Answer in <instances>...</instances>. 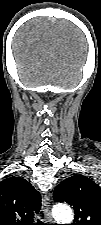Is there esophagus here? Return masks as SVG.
<instances>
[{
  "instance_id": "1",
  "label": "esophagus",
  "mask_w": 101,
  "mask_h": 225,
  "mask_svg": "<svg viewBox=\"0 0 101 225\" xmlns=\"http://www.w3.org/2000/svg\"><path fill=\"white\" fill-rule=\"evenodd\" d=\"M42 212L44 214L46 221L48 223H53V218L50 212V201H49V197L47 196L42 197Z\"/></svg>"
}]
</instances>
